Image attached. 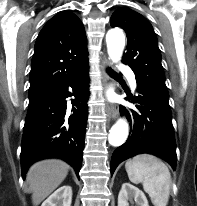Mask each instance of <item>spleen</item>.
<instances>
[{
    "label": "spleen",
    "instance_id": "spleen-1",
    "mask_svg": "<svg viewBox=\"0 0 197 206\" xmlns=\"http://www.w3.org/2000/svg\"><path fill=\"white\" fill-rule=\"evenodd\" d=\"M129 180L141 183L154 206H166L169 201L171 174L165 163L151 155H137L125 164Z\"/></svg>",
    "mask_w": 197,
    "mask_h": 206
}]
</instances>
